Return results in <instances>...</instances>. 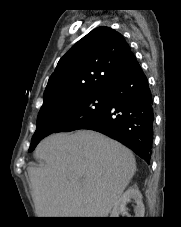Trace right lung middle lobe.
<instances>
[{"label":"right lung middle lobe","instance_id":"obj_1","mask_svg":"<svg viewBox=\"0 0 181 227\" xmlns=\"http://www.w3.org/2000/svg\"><path fill=\"white\" fill-rule=\"evenodd\" d=\"M109 98L108 90H102L60 101L41 109L29 152H32L37 144L50 134L82 129L88 125L105 109Z\"/></svg>","mask_w":181,"mask_h":227}]
</instances>
